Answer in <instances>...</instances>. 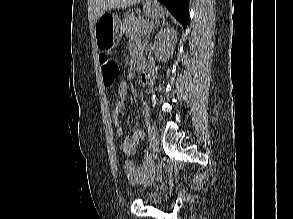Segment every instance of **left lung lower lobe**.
<instances>
[{
    "mask_svg": "<svg viewBox=\"0 0 293 219\" xmlns=\"http://www.w3.org/2000/svg\"><path fill=\"white\" fill-rule=\"evenodd\" d=\"M163 3L171 14L186 28L189 19L188 0H158Z\"/></svg>",
    "mask_w": 293,
    "mask_h": 219,
    "instance_id": "0a47b994",
    "label": "left lung lower lobe"
}]
</instances>
